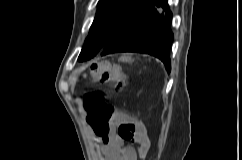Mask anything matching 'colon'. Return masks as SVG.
Masks as SVG:
<instances>
[{
  "mask_svg": "<svg viewBox=\"0 0 242 160\" xmlns=\"http://www.w3.org/2000/svg\"><path fill=\"white\" fill-rule=\"evenodd\" d=\"M88 74L98 83L112 84L114 89L119 90L125 84V75L117 64L107 61L94 62L90 65ZM85 106L88 109L87 120L98 135L104 134L114 116V109L108 105L99 92H91L86 95ZM133 126L124 125L121 128L123 137L130 141Z\"/></svg>",
  "mask_w": 242,
  "mask_h": 160,
  "instance_id": "obj_1",
  "label": "colon"
}]
</instances>
